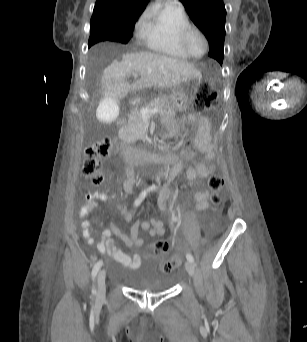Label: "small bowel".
<instances>
[{"label":"small bowel","instance_id":"obj_1","mask_svg":"<svg viewBox=\"0 0 307 342\" xmlns=\"http://www.w3.org/2000/svg\"><path fill=\"white\" fill-rule=\"evenodd\" d=\"M188 125L195 129L194 149L204 155L203 160H197L196 155L190 152H182L181 160L176 155H173L174 166L169 174L168 179H172L180 172L185 164L189 161L192 164L187 168L186 176L189 181L195 182L200 178H205L216 172L215 165L212 164L216 158V152L211 137V123L208 117L201 114H192L188 118ZM134 182L133 172L129 171L128 179L125 184V189L128 193L132 192ZM209 191L201 190L195 194V209L197 211H205L209 207ZM169 197V189L164 186L159 197V206L161 209H167V199ZM86 203L79 211L81 218L86 217L90 212L98 206V201H106L108 195L104 192H89L85 195ZM121 216L128 222L132 223V215L124 208H120ZM139 226L149 233H159V236L165 234L163 223L156 218L149 221H141L132 224L130 235H125L118 226L112 225L106 228L101 233V241L97 244V249L103 254H109L114 260L121 264L135 268L138 266L140 258L135 255L133 257L119 249L112 240V235H115L123 240L129 247L139 248L144 245V240L138 236ZM82 233L90 244H93L91 224L88 221L82 222Z\"/></svg>","mask_w":307,"mask_h":342}]
</instances>
